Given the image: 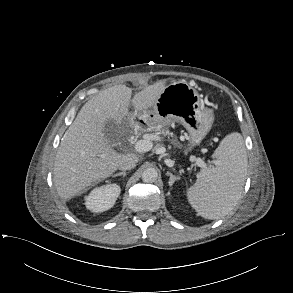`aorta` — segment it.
Here are the masks:
<instances>
[{
  "label": "aorta",
  "mask_w": 293,
  "mask_h": 293,
  "mask_svg": "<svg viewBox=\"0 0 293 293\" xmlns=\"http://www.w3.org/2000/svg\"><path fill=\"white\" fill-rule=\"evenodd\" d=\"M158 178V172L155 168L149 167L142 172V180L146 183H153Z\"/></svg>",
  "instance_id": "762f6f07"
}]
</instances>
